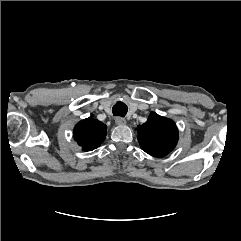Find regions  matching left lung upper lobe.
<instances>
[{
    "mask_svg": "<svg viewBox=\"0 0 241 241\" xmlns=\"http://www.w3.org/2000/svg\"><path fill=\"white\" fill-rule=\"evenodd\" d=\"M141 149L154 157L169 154L178 142V129L173 120L150 113L147 122L137 126Z\"/></svg>",
    "mask_w": 241,
    "mask_h": 241,
    "instance_id": "obj_1",
    "label": "left lung upper lobe"
}]
</instances>
